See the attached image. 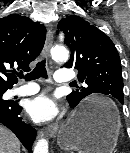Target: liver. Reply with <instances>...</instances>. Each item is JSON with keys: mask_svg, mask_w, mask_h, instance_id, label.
Here are the masks:
<instances>
[{"mask_svg": "<svg viewBox=\"0 0 130 153\" xmlns=\"http://www.w3.org/2000/svg\"><path fill=\"white\" fill-rule=\"evenodd\" d=\"M0 153H20V141L2 125H0Z\"/></svg>", "mask_w": 130, "mask_h": 153, "instance_id": "obj_1", "label": "liver"}]
</instances>
